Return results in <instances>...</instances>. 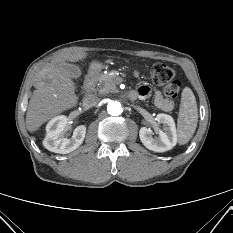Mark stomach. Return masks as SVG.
Here are the masks:
<instances>
[{
	"label": "stomach",
	"instance_id": "stomach-1",
	"mask_svg": "<svg viewBox=\"0 0 233 233\" xmlns=\"http://www.w3.org/2000/svg\"><path fill=\"white\" fill-rule=\"evenodd\" d=\"M101 67V64L99 62L94 61L91 65L92 69H99Z\"/></svg>",
	"mask_w": 233,
	"mask_h": 233
}]
</instances>
